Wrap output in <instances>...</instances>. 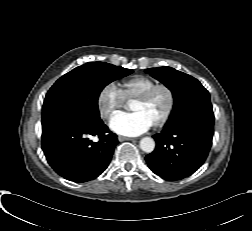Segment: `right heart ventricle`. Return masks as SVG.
<instances>
[{"instance_id": "right-heart-ventricle-1", "label": "right heart ventricle", "mask_w": 252, "mask_h": 231, "mask_svg": "<svg viewBox=\"0 0 252 231\" xmlns=\"http://www.w3.org/2000/svg\"><path fill=\"white\" fill-rule=\"evenodd\" d=\"M155 84H157L156 80L151 77L136 75L123 80L120 84L119 90L124 100H129L143 94Z\"/></svg>"}]
</instances>
